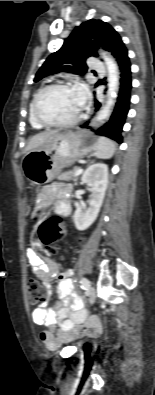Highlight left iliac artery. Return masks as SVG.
Wrapping results in <instances>:
<instances>
[{
    "mask_svg": "<svg viewBox=\"0 0 155 395\" xmlns=\"http://www.w3.org/2000/svg\"><path fill=\"white\" fill-rule=\"evenodd\" d=\"M80 284H81V288H82L83 290H89V288H90V282H89L88 279H86V278H81Z\"/></svg>",
    "mask_w": 155,
    "mask_h": 395,
    "instance_id": "44dca946",
    "label": "left iliac artery"
}]
</instances>
